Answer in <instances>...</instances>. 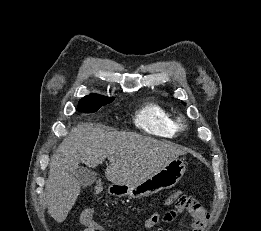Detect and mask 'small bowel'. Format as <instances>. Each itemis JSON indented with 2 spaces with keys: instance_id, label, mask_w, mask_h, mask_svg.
<instances>
[{
  "instance_id": "obj_1",
  "label": "small bowel",
  "mask_w": 261,
  "mask_h": 231,
  "mask_svg": "<svg viewBox=\"0 0 261 231\" xmlns=\"http://www.w3.org/2000/svg\"><path fill=\"white\" fill-rule=\"evenodd\" d=\"M93 209L85 208L81 214L80 222L85 227L83 231H105L104 228L92 219ZM177 215L176 211L168 212L164 218L158 212H153L145 221V227L148 230L155 229L163 220L170 221ZM205 227L191 221L189 231H204Z\"/></svg>"
}]
</instances>
